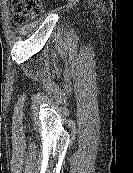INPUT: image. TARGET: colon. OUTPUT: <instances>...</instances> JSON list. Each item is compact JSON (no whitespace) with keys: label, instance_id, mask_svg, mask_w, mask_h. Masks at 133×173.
Instances as JSON below:
<instances>
[{"label":"colon","instance_id":"colon-1","mask_svg":"<svg viewBox=\"0 0 133 173\" xmlns=\"http://www.w3.org/2000/svg\"><path fill=\"white\" fill-rule=\"evenodd\" d=\"M17 13L16 22L23 23L25 18L37 17L42 12L41 0H11Z\"/></svg>","mask_w":133,"mask_h":173}]
</instances>
